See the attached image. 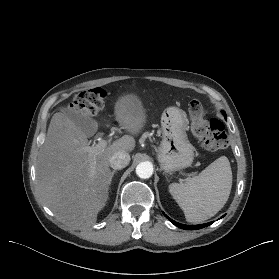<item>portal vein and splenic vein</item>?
Returning <instances> with one entry per match:
<instances>
[{
    "mask_svg": "<svg viewBox=\"0 0 279 279\" xmlns=\"http://www.w3.org/2000/svg\"><path fill=\"white\" fill-rule=\"evenodd\" d=\"M108 143H109V141H107V140H100L95 145L85 147V150L88 153L92 154V153H95L97 150L105 148L108 145Z\"/></svg>",
    "mask_w": 279,
    "mask_h": 279,
    "instance_id": "obj_1",
    "label": "portal vein and splenic vein"
}]
</instances>
